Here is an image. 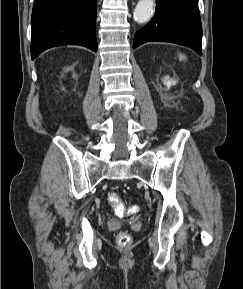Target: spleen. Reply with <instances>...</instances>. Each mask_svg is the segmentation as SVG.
I'll use <instances>...</instances> for the list:
<instances>
[{
  "instance_id": "spleen-1",
  "label": "spleen",
  "mask_w": 243,
  "mask_h": 289,
  "mask_svg": "<svg viewBox=\"0 0 243 289\" xmlns=\"http://www.w3.org/2000/svg\"><path fill=\"white\" fill-rule=\"evenodd\" d=\"M180 59H186V57L184 55H179Z\"/></svg>"
}]
</instances>
